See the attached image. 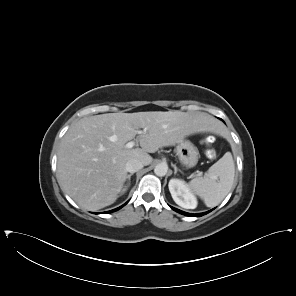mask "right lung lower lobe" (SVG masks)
<instances>
[{"mask_svg": "<svg viewBox=\"0 0 296 296\" xmlns=\"http://www.w3.org/2000/svg\"><path fill=\"white\" fill-rule=\"evenodd\" d=\"M124 205H125V204H124ZM124 205H122V206H120V207H118V208H116V209H114V210L108 211V212H106V213H110V212L117 211V210H119L121 207H123Z\"/></svg>", "mask_w": 296, "mask_h": 296, "instance_id": "right-lung-lower-lobe-1", "label": "right lung lower lobe"}]
</instances>
